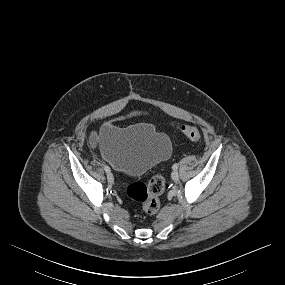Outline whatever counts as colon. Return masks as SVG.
I'll return each instance as SVG.
<instances>
[{
  "instance_id": "obj_1",
  "label": "colon",
  "mask_w": 285,
  "mask_h": 285,
  "mask_svg": "<svg viewBox=\"0 0 285 285\" xmlns=\"http://www.w3.org/2000/svg\"><path fill=\"white\" fill-rule=\"evenodd\" d=\"M177 129L189 140L197 142L201 139V133L195 126L181 125ZM165 189L163 177L156 175L147 183L136 182L127 188V196L134 202L142 205L143 209L154 214L158 211L160 201L159 197Z\"/></svg>"
}]
</instances>
